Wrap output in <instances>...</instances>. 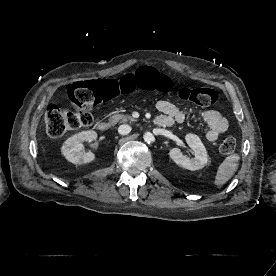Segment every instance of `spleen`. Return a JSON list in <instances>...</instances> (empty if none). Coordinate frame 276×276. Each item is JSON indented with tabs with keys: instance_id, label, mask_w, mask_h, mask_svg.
<instances>
[{
	"instance_id": "spleen-1",
	"label": "spleen",
	"mask_w": 276,
	"mask_h": 276,
	"mask_svg": "<svg viewBox=\"0 0 276 276\" xmlns=\"http://www.w3.org/2000/svg\"><path fill=\"white\" fill-rule=\"evenodd\" d=\"M240 157L237 154H232L225 158V160L219 165L214 185L222 187L231 177L235 174L238 168V161Z\"/></svg>"
}]
</instances>
